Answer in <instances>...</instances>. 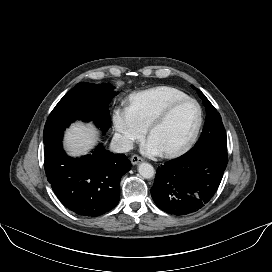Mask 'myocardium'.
I'll return each mask as SVG.
<instances>
[{"mask_svg": "<svg viewBox=\"0 0 272 272\" xmlns=\"http://www.w3.org/2000/svg\"><path fill=\"white\" fill-rule=\"evenodd\" d=\"M187 102H191L193 104L196 105L197 107V111H198V117H197V122L196 125L194 127V130L192 132V134L190 135V137L187 139V141L181 145L180 147L173 149V150H169V151H165L163 152V155H165L166 157H176L179 156L183 153H185L186 151H188L192 145L194 144V142L196 141L202 124H203V110L201 105L199 104V102L191 97H184V98H180L177 100L172 101L171 103H169L164 109H162L150 122V124L148 125V134L151 135V133L153 132V130L160 125L161 123H163L171 114L172 112L180 105L187 103Z\"/></svg>", "mask_w": 272, "mask_h": 272, "instance_id": "obj_1", "label": "myocardium"}]
</instances>
